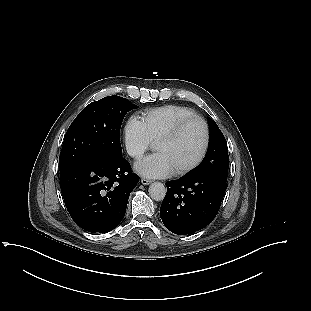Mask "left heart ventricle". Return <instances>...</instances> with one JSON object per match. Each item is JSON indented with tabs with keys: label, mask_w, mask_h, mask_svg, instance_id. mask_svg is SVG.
<instances>
[{
	"label": "left heart ventricle",
	"mask_w": 311,
	"mask_h": 311,
	"mask_svg": "<svg viewBox=\"0 0 311 311\" xmlns=\"http://www.w3.org/2000/svg\"><path fill=\"white\" fill-rule=\"evenodd\" d=\"M203 142L202 126L195 122L188 125L174 140L160 141L155 149L168 158L173 170H176L195 159Z\"/></svg>",
	"instance_id": "b2bd125f"
}]
</instances>
